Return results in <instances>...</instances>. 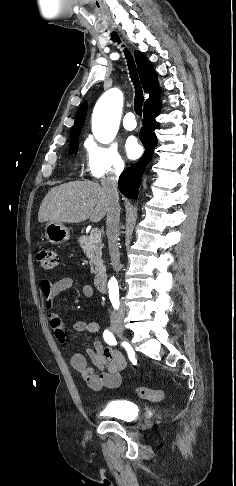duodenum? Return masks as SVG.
<instances>
[{
	"label": "duodenum",
	"instance_id": "duodenum-1",
	"mask_svg": "<svg viewBox=\"0 0 236 486\" xmlns=\"http://www.w3.org/2000/svg\"><path fill=\"white\" fill-rule=\"evenodd\" d=\"M107 275L104 272H99L94 278V286L100 292L106 291Z\"/></svg>",
	"mask_w": 236,
	"mask_h": 486
}]
</instances>
